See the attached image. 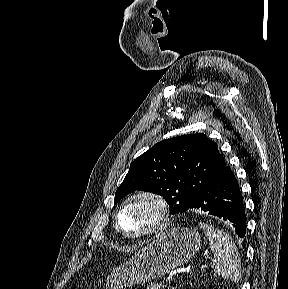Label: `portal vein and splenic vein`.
I'll list each match as a JSON object with an SVG mask.
<instances>
[{
  "instance_id": "portal-vein-and-splenic-vein-1",
  "label": "portal vein and splenic vein",
  "mask_w": 288,
  "mask_h": 289,
  "mask_svg": "<svg viewBox=\"0 0 288 289\" xmlns=\"http://www.w3.org/2000/svg\"><path fill=\"white\" fill-rule=\"evenodd\" d=\"M171 280H172V276H171V277H168V278L166 279V283H170Z\"/></svg>"
}]
</instances>
